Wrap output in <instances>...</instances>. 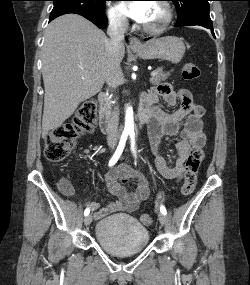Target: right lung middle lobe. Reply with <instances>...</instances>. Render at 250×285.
I'll list each match as a JSON object with an SVG mask.
<instances>
[{
  "label": "right lung middle lobe",
  "instance_id": "dd1d6c3e",
  "mask_svg": "<svg viewBox=\"0 0 250 285\" xmlns=\"http://www.w3.org/2000/svg\"><path fill=\"white\" fill-rule=\"evenodd\" d=\"M54 7L50 18H56L67 13L85 12L91 14H105L107 0H53Z\"/></svg>",
  "mask_w": 250,
  "mask_h": 285
}]
</instances>
